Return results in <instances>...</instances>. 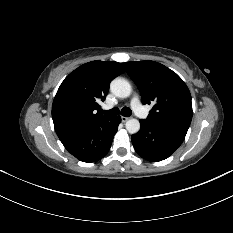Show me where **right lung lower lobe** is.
<instances>
[{"mask_svg":"<svg viewBox=\"0 0 233 233\" xmlns=\"http://www.w3.org/2000/svg\"><path fill=\"white\" fill-rule=\"evenodd\" d=\"M120 122V116L110 117L63 135L59 139L68 152L80 161L95 162L108 153Z\"/></svg>","mask_w":233,"mask_h":233,"instance_id":"obj_1","label":"right lung lower lobe"}]
</instances>
